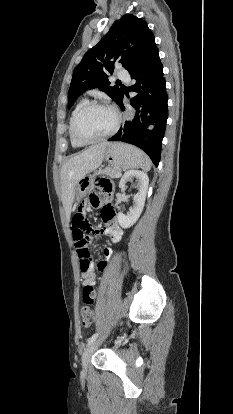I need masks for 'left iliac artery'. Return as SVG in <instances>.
Masks as SVG:
<instances>
[{
	"label": "left iliac artery",
	"instance_id": "obj_1",
	"mask_svg": "<svg viewBox=\"0 0 233 414\" xmlns=\"http://www.w3.org/2000/svg\"><path fill=\"white\" fill-rule=\"evenodd\" d=\"M98 337V333L93 334L87 341V345H90L91 343H93L96 338Z\"/></svg>",
	"mask_w": 233,
	"mask_h": 414
}]
</instances>
